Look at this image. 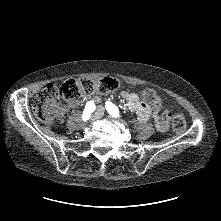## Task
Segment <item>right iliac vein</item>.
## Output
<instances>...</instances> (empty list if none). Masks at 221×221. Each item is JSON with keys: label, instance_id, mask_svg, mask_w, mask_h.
<instances>
[{"label": "right iliac vein", "instance_id": "obj_1", "mask_svg": "<svg viewBox=\"0 0 221 221\" xmlns=\"http://www.w3.org/2000/svg\"><path fill=\"white\" fill-rule=\"evenodd\" d=\"M94 117H95V118H100V114L97 113V114L94 115ZM85 125H86L85 123H82V124H81V128H84Z\"/></svg>", "mask_w": 221, "mask_h": 221}]
</instances>
